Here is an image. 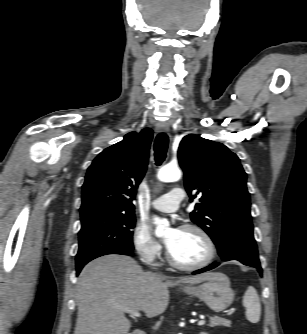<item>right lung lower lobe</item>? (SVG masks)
<instances>
[{
	"mask_svg": "<svg viewBox=\"0 0 307 334\" xmlns=\"http://www.w3.org/2000/svg\"><path fill=\"white\" fill-rule=\"evenodd\" d=\"M114 254H122V255H125L124 252H117V253H114ZM82 268H83V266H81V267H77V272H76L77 275L80 273V271H81Z\"/></svg>",
	"mask_w": 307,
	"mask_h": 334,
	"instance_id": "right-lung-lower-lobe-1",
	"label": "right lung lower lobe"
}]
</instances>
